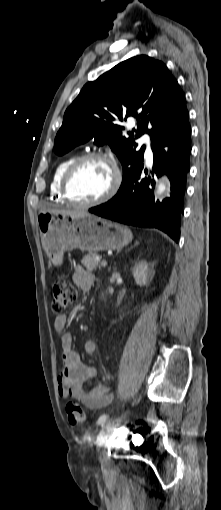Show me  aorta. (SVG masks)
Here are the masks:
<instances>
[{"label": "aorta", "instance_id": "obj_1", "mask_svg": "<svg viewBox=\"0 0 221 510\" xmlns=\"http://www.w3.org/2000/svg\"><path fill=\"white\" fill-rule=\"evenodd\" d=\"M165 190H166V185H165V183H159V185H158V193H159V194H161V193H163Z\"/></svg>", "mask_w": 221, "mask_h": 510}]
</instances>
